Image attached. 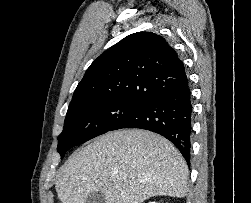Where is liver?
Returning a JSON list of instances; mask_svg holds the SVG:
<instances>
[{"label":"liver","instance_id":"1","mask_svg":"<svg viewBox=\"0 0 251 203\" xmlns=\"http://www.w3.org/2000/svg\"><path fill=\"white\" fill-rule=\"evenodd\" d=\"M188 176L182 155L164 137L117 130L74 152L55 188L62 203H86L98 191L105 203H143L155 196L185 197Z\"/></svg>","mask_w":251,"mask_h":203}]
</instances>
